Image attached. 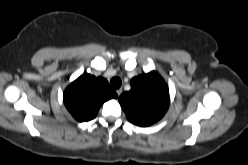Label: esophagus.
Returning <instances> with one entry per match:
<instances>
[{
  "label": "esophagus",
  "instance_id": "34e87169",
  "mask_svg": "<svg viewBox=\"0 0 248 165\" xmlns=\"http://www.w3.org/2000/svg\"><path fill=\"white\" fill-rule=\"evenodd\" d=\"M122 91H123L122 88L116 90L117 95L120 96L122 94Z\"/></svg>",
  "mask_w": 248,
  "mask_h": 165
}]
</instances>
